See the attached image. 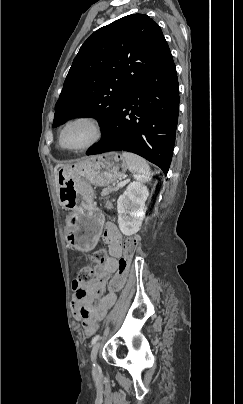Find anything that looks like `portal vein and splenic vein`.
<instances>
[{
  "label": "portal vein and splenic vein",
  "instance_id": "18ae733b",
  "mask_svg": "<svg viewBox=\"0 0 243 404\" xmlns=\"http://www.w3.org/2000/svg\"><path fill=\"white\" fill-rule=\"evenodd\" d=\"M128 183H131V180L125 179L123 182L119 181L117 184V188H122V186H126Z\"/></svg>",
  "mask_w": 243,
  "mask_h": 404
}]
</instances>
